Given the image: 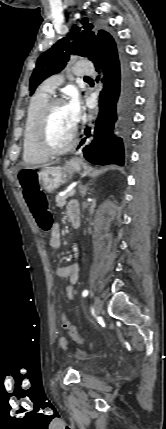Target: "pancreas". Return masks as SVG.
<instances>
[{
  "mask_svg": "<svg viewBox=\"0 0 166 429\" xmlns=\"http://www.w3.org/2000/svg\"><path fill=\"white\" fill-rule=\"evenodd\" d=\"M68 199V194L63 195V196H56V203H57V207L62 208Z\"/></svg>",
  "mask_w": 166,
  "mask_h": 429,
  "instance_id": "obj_1",
  "label": "pancreas"
}]
</instances>
